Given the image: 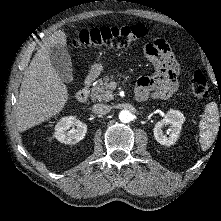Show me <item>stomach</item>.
Returning a JSON list of instances; mask_svg holds the SVG:
<instances>
[{
  "instance_id": "stomach-1",
  "label": "stomach",
  "mask_w": 221,
  "mask_h": 221,
  "mask_svg": "<svg viewBox=\"0 0 221 221\" xmlns=\"http://www.w3.org/2000/svg\"><path fill=\"white\" fill-rule=\"evenodd\" d=\"M103 70V65L102 63H95L94 65H92L90 72L93 75H99L101 73V71Z\"/></svg>"
}]
</instances>
